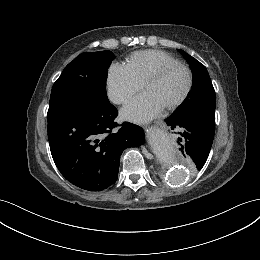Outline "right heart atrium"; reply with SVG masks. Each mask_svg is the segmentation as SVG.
<instances>
[{
    "mask_svg": "<svg viewBox=\"0 0 260 260\" xmlns=\"http://www.w3.org/2000/svg\"><path fill=\"white\" fill-rule=\"evenodd\" d=\"M106 84L109 99L118 105L128 103L142 88L123 64L110 66Z\"/></svg>",
    "mask_w": 260,
    "mask_h": 260,
    "instance_id": "d8ad5b80",
    "label": "right heart atrium"
}]
</instances>
